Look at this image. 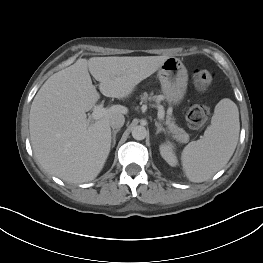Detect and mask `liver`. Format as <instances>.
I'll return each mask as SVG.
<instances>
[{"label":"liver","instance_id":"obj_1","mask_svg":"<svg viewBox=\"0 0 263 263\" xmlns=\"http://www.w3.org/2000/svg\"><path fill=\"white\" fill-rule=\"evenodd\" d=\"M167 58H80L48 78L36 94L29 115L31 144L40 166L69 183L95 179L110 153V119L115 114H127L128 109L112 105L102 118L90 123L86 112L100 98L90 74L100 82L104 96L123 99Z\"/></svg>","mask_w":263,"mask_h":263}]
</instances>
